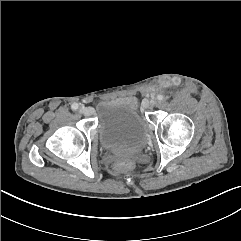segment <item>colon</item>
<instances>
[{"instance_id": "obj_1", "label": "colon", "mask_w": 241, "mask_h": 241, "mask_svg": "<svg viewBox=\"0 0 241 241\" xmlns=\"http://www.w3.org/2000/svg\"><path fill=\"white\" fill-rule=\"evenodd\" d=\"M134 167V164L130 160H123L117 164V168L122 171L131 170Z\"/></svg>"}]
</instances>
